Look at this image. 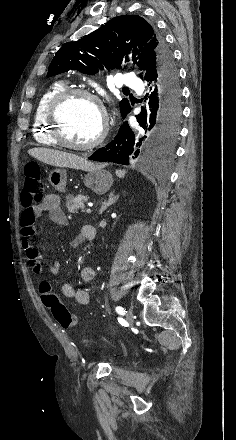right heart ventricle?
I'll return each mask as SVG.
<instances>
[{"instance_id": "1", "label": "right heart ventricle", "mask_w": 236, "mask_h": 440, "mask_svg": "<svg viewBox=\"0 0 236 440\" xmlns=\"http://www.w3.org/2000/svg\"><path fill=\"white\" fill-rule=\"evenodd\" d=\"M65 88L63 81L53 82L40 96L33 114V137L35 141L44 146L55 147L58 144L51 137L45 119L46 108L52 97Z\"/></svg>"}]
</instances>
